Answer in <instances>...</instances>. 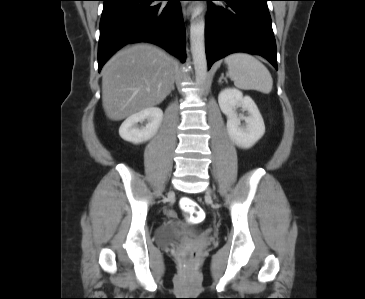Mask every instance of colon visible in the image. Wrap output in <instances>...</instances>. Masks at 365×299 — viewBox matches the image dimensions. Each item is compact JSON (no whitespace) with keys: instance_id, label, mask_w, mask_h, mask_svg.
<instances>
[{"instance_id":"1","label":"colon","mask_w":365,"mask_h":299,"mask_svg":"<svg viewBox=\"0 0 365 299\" xmlns=\"http://www.w3.org/2000/svg\"><path fill=\"white\" fill-rule=\"evenodd\" d=\"M180 206L191 223H199L204 220L205 214L195 200L191 198H183L180 201Z\"/></svg>"}]
</instances>
